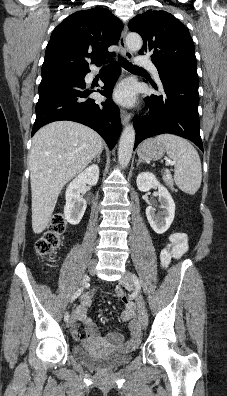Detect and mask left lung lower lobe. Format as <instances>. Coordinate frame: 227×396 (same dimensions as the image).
<instances>
[{"mask_svg": "<svg viewBox=\"0 0 227 396\" xmlns=\"http://www.w3.org/2000/svg\"><path fill=\"white\" fill-rule=\"evenodd\" d=\"M164 95L146 97L149 114L135 117V146L146 138L171 133L195 143L202 151L199 132V79L184 73L159 72Z\"/></svg>", "mask_w": 227, "mask_h": 396, "instance_id": "obj_1", "label": "left lung lower lobe"}]
</instances>
